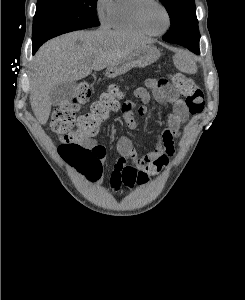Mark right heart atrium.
<instances>
[{
    "label": "right heart atrium",
    "instance_id": "right-heart-atrium-1",
    "mask_svg": "<svg viewBox=\"0 0 245 300\" xmlns=\"http://www.w3.org/2000/svg\"><path fill=\"white\" fill-rule=\"evenodd\" d=\"M113 0H96L95 12L102 24H108Z\"/></svg>",
    "mask_w": 245,
    "mask_h": 300
}]
</instances>
